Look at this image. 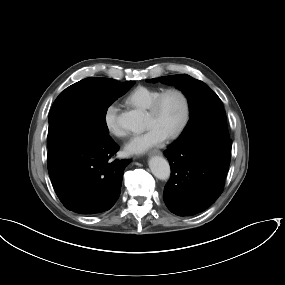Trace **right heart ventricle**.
I'll return each instance as SVG.
<instances>
[{
  "instance_id": "e07e8e85",
  "label": "right heart ventricle",
  "mask_w": 285,
  "mask_h": 285,
  "mask_svg": "<svg viewBox=\"0 0 285 285\" xmlns=\"http://www.w3.org/2000/svg\"><path fill=\"white\" fill-rule=\"evenodd\" d=\"M160 92L159 88L137 86L125 97V102L140 109H148Z\"/></svg>"
}]
</instances>
